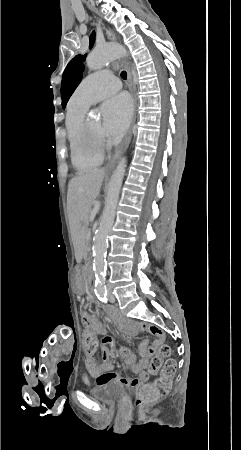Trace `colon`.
Masks as SVG:
<instances>
[{
    "mask_svg": "<svg viewBox=\"0 0 241 450\" xmlns=\"http://www.w3.org/2000/svg\"><path fill=\"white\" fill-rule=\"evenodd\" d=\"M98 344L97 340L85 332L79 334V347L84 351L86 356L93 354V348ZM170 354L169 347L162 345L159 348L157 355L153 358V369L150 372H157L160 369L162 360L166 359ZM176 366L173 360H168L165 367L161 369V376L153 383L144 385L140 388L137 399L135 401L136 407H144L159 401L166 395L170 387V375L175 371Z\"/></svg>",
    "mask_w": 241,
    "mask_h": 450,
    "instance_id": "obj_1",
    "label": "colon"
}]
</instances>
